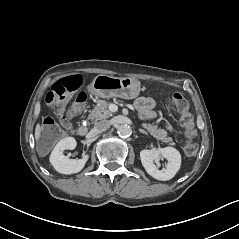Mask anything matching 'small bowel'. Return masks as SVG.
<instances>
[{
  "instance_id": "1",
  "label": "small bowel",
  "mask_w": 239,
  "mask_h": 239,
  "mask_svg": "<svg viewBox=\"0 0 239 239\" xmlns=\"http://www.w3.org/2000/svg\"><path fill=\"white\" fill-rule=\"evenodd\" d=\"M135 107L145 118H153L155 116V102L149 97H139L135 101Z\"/></svg>"
}]
</instances>
